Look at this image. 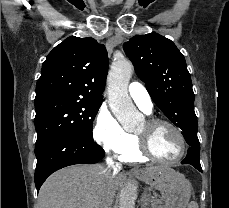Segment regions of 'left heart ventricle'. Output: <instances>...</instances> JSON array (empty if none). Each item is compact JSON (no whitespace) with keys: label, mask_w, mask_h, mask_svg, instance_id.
<instances>
[{"label":"left heart ventricle","mask_w":229,"mask_h":208,"mask_svg":"<svg viewBox=\"0 0 229 208\" xmlns=\"http://www.w3.org/2000/svg\"><path fill=\"white\" fill-rule=\"evenodd\" d=\"M170 130L173 129L167 126L150 128L145 122L137 133L151 135L152 139H148V144L149 152H153V157H158L159 160H172L179 157L184 152L185 147H178V143H175V139L172 137L173 135L169 134Z\"/></svg>","instance_id":"left-heart-ventricle-1"}]
</instances>
